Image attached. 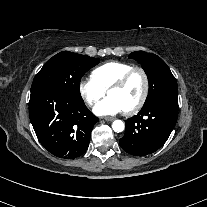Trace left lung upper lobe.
Masks as SVG:
<instances>
[{"instance_id":"obj_1","label":"left lung upper lobe","mask_w":207,"mask_h":207,"mask_svg":"<svg viewBox=\"0 0 207 207\" xmlns=\"http://www.w3.org/2000/svg\"><path fill=\"white\" fill-rule=\"evenodd\" d=\"M129 58L138 61L148 76L149 93L144 106L160 95L178 93L177 81L160 57L152 53L136 51L132 52Z\"/></svg>"}]
</instances>
